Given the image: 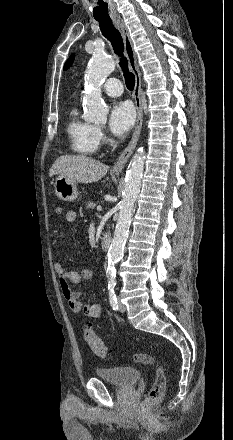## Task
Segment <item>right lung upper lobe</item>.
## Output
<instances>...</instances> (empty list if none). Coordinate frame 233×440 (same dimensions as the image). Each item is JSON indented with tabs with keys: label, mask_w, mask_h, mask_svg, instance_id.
Here are the masks:
<instances>
[{
	"label": "right lung upper lobe",
	"mask_w": 233,
	"mask_h": 440,
	"mask_svg": "<svg viewBox=\"0 0 233 440\" xmlns=\"http://www.w3.org/2000/svg\"><path fill=\"white\" fill-rule=\"evenodd\" d=\"M73 59H74V55H71L70 58L68 59V61L66 62L65 66H64V70H67L70 67V65L73 62Z\"/></svg>",
	"instance_id": "1"
}]
</instances>
